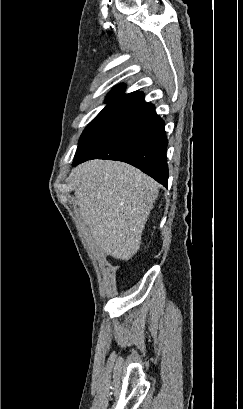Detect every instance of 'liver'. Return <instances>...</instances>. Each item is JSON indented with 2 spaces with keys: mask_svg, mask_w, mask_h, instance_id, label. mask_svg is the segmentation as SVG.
I'll list each match as a JSON object with an SVG mask.
<instances>
[{
  "mask_svg": "<svg viewBox=\"0 0 243 409\" xmlns=\"http://www.w3.org/2000/svg\"><path fill=\"white\" fill-rule=\"evenodd\" d=\"M71 177L79 214L94 243L116 259L132 258L158 196L157 183L129 164L110 160L85 162Z\"/></svg>",
  "mask_w": 243,
  "mask_h": 409,
  "instance_id": "liver-1",
  "label": "liver"
}]
</instances>
